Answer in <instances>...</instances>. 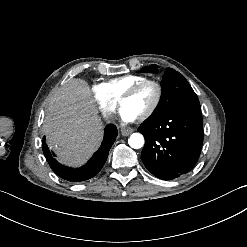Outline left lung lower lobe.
<instances>
[{
  "mask_svg": "<svg viewBox=\"0 0 247 247\" xmlns=\"http://www.w3.org/2000/svg\"><path fill=\"white\" fill-rule=\"evenodd\" d=\"M138 131L145 137L141 159L149 172L163 180L188 173L203 143L201 110L179 108L147 119Z\"/></svg>",
  "mask_w": 247,
  "mask_h": 247,
  "instance_id": "0a47b994",
  "label": "left lung lower lobe"
}]
</instances>
